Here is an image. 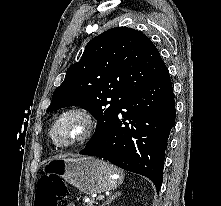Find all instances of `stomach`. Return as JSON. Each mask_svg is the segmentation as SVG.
<instances>
[{
    "mask_svg": "<svg viewBox=\"0 0 221 206\" xmlns=\"http://www.w3.org/2000/svg\"><path fill=\"white\" fill-rule=\"evenodd\" d=\"M43 170L47 174H57L65 182L89 195L113 190L124 179L120 169L94 157L50 159Z\"/></svg>",
    "mask_w": 221,
    "mask_h": 206,
    "instance_id": "0dacf381",
    "label": "stomach"
}]
</instances>
